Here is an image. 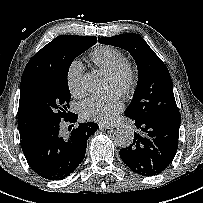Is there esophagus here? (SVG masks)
<instances>
[{
	"mask_svg": "<svg viewBox=\"0 0 203 203\" xmlns=\"http://www.w3.org/2000/svg\"><path fill=\"white\" fill-rule=\"evenodd\" d=\"M99 128L100 129H113L114 126L110 124H105V123H99Z\"/></svg>",
	"mask_w": 203,
	"mask_h": 203,
	"instance_id": "34e87169",
	"label": "esophagus"
}]
</instances>
